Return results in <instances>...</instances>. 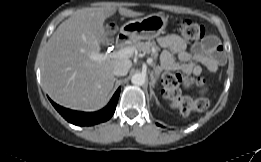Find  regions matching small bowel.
<instances>
[{
    "mask_svg": "<svg viewBox=\"0 0 261 162\" xmlns=\"http://www.w3.org/2000/svg\"><path fill=\"white\" fill-rule=\"evenodd\" d=\"M158 42L164 48L160 56L161 69L164 71L180 70L199 76L204 69L215 72L226 61L223 47L214 36H208L192 52L186 50L185 41L175 34L163 35Z\"/></svg>",
    "mask_w": 261,
    "mask_h": 162,
    "instance_id": "1",
    "label": "small bowel"
}]
</instances>
